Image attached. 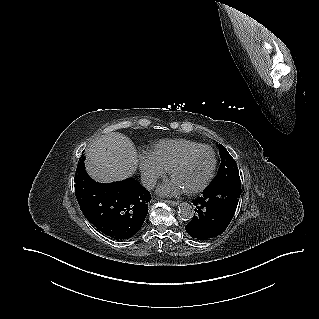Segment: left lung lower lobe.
I'll return each mask as SVG.
<instances>
[{"mask_svg": "<svg viewBox=\"0 0 319 319\" xmlns=\"http://www.w3.org/2000/svg\"><path fill=\"white\" fill-rule=\"evenodd\" d=\"M241 181L232 179L215 187H207L203 195L193 200L194 216L185 229L199 240L220 235L231 222L240 197Z\"/></svg>", "mask_w": 319, "mask_h": 319, "instance_id": "obj_1", "label": "left lung lower lobe"}]
</instances>
